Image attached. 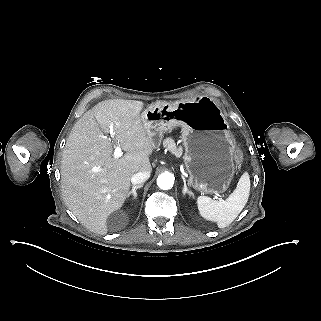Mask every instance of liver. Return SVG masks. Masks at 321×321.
<instances>
[{
    "label": "liver",
    "mask_w": 321,
    "mask_h": 321,
    "mask_svg": "<svg viewBox=\"0 0 321 321\" xmlns=\"http://www.w3.org/2000/svg\"><path fill=\"white\" fill-rule=\"evenodd\" d=\"M142 109L137 100L99 102L76 122L67 139L61 161L63 199L94 233L107 234V218L122 207L131 177L152 171L149 155L154 147L140 117ZM111 125L112 139L100 130L110 133ZM115 146L126 152L121 158H114Z\"/></svg>",
    "instance_id": "liver-1"
}]
</instances>
